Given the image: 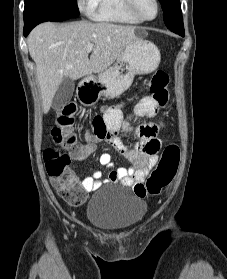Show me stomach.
Here are the masks:
<instances>
[{"instance_id":"0dacf381","label":"stomach","mask_w":227,"mask_h":279,"mask_svg":"<svg viewBox=\"0 0 227 279\" xmlns=\"http://www.w3.org/2000/svg\"><path fill=\"white\" fill-rule=\"evenodd\" d=\"M120 53L113 66L96 78L84 79L79 84L77 96L86 106L94 105L101 96L119 97L132 84L135 75L153 72L159 65L161 55L157 46L139 33Z\"/></svg>"}]
</instances>
